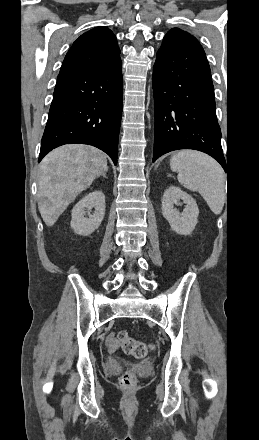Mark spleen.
Wrapping results in <instances>:
<instances>
[{
    "label": "spleen",
    "instance_id": "obj_1",
    "mask_svg": "<svg viewBox=\"0 0 259 440\" xmlns=\"http://www.w3.org/2000/svg\"><path fill=\"white\" fill-rule=\"evenodd\" d=\"M170 168L178 173L179 183L190 191H198L214 214H220L226 199L225 175L210 156L182 150L170 159Z\"/></svg>",
    "mask_w": 259,
    "mask_h": 440
}]
</instances>
